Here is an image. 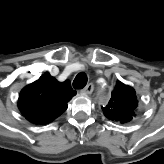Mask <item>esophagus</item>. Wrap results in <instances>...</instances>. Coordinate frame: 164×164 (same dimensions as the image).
Listing matches in <instances>:
<instances>
[{
	"instance_id": "esophagus-1",
	"label": "esophagus",
	"mask_w": 164,
	"mask_h": 164,
	"mask_svg": "<svg viewBox=\"0 0 164 164\" xmlns=\"http://www.w3.org/2000/svg\"><path fill=\"white\" fill-rule=\"evenodd\" d=\"M94 90V85L92 83H89L83 90L82 92L85 94H91Z\"/></svg>"
}]
</instances>
